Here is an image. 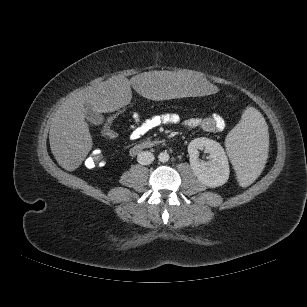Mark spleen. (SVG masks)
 Here are the masks:
<instances>
[{"mask_svg":"<svg viewBox=\"0 0 307 307\" xmlns=\"http://www.w3.org/2000/svg\"><path fill=\"white\" fill-rule=\"evenodd\" d=\"M267 125L261 113L247 107L240 122L227 138V148L232 158L233 173L243 185L259 180L264 172L269 146Z\"/></svg>","mask_w":307,"mask_h":307,"instance_id":"3e777b00","label":"spleen"}]
</instances>
